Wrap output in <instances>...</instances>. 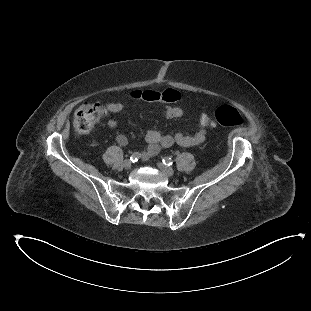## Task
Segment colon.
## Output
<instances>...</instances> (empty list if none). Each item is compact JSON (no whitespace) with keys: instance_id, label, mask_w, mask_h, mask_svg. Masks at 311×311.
<instances>
[{"instance_id":"5ec220e1","label":"colon","mask_w":311,"mask_h":311,"mask_svg":"<svg viewBox=\"0 0 311 311\" xmlns=\"http://www.w3.org/2000/svg\"><path fill=\"white\" fill-rule=\"evenodd\" d=\"M135 97L150 102H176L180 98V95L173 89H166L164 91L139 90L135 93ZM108 106L109 103L105 102H86L81 104L74 115V127L76 132L81 135L89 133L96 119L106 115ZM214 113L216 124L227 127H238L243 123L240 113L230 105H222L218 107ZM200 121L206 124L207 118L202 115Z\"/></svg>"}]
</instances>
